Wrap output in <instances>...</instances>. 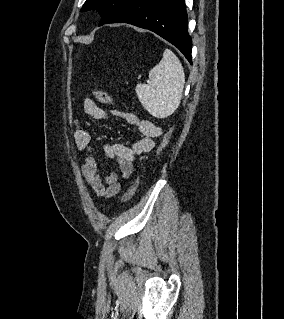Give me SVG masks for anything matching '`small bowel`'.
<instances>
[{
  "label": "small bowel",
  "instance_id": "obj_1",
  "mask_svg": "<svg viewBox=\"0 0 284 319\" xmlns=\"http://www.w3.org/2000/svg\"><path fill=\"white\" fill-rule=\"evenodd\" d=\"M83 112L95 120H105L110 116L120 117L129 125L138 127L141 133V138L132 146L122 143L105 144L103 146L104 153L117 162L119 170V173L111 172L103 176L94 155L89 131L79 120L75 121V145L79 151L84 152L86 155L82 167L83 176L98 197L111 198L121 190L119 177L128 179L132 175L136 158L154 148L156 139L162 134V129L153 121L140 119L133 113L119 110L108 111L98 106L91 99L83 101Z\"/></svg>",
  "mask_w": 284,
  "mask_h": 319
}]
</instances>
